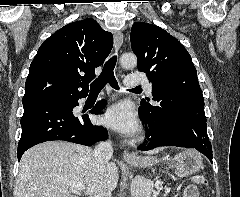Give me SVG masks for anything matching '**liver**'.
I'll list each match as a JSON object with an SVG mask.
<instances>
[{"label": "liver", "mask_w": 240, "mask_h": 197, "mask_svg": "<svg viewBox=\"0 0 240 197\" xmlns=\"http://www.w3.org/2000/svg\"><path fill=\"white\" fill-rule=\"evenodd\" d=\"M118 179L116 164L99 165L90 148L66 141L44 142L23 154L15 197H76L65 181L82 183L85 188L79 191L87 195H94L100 186L112 192Z\"/></svg>", "instance_id": "6515ba94"}]
</instances>
